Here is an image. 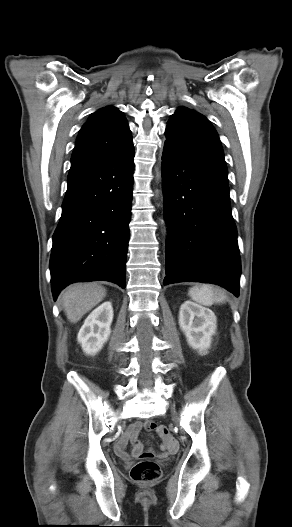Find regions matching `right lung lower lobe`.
<instances>
[{"label": "right lung lower lobe", "mask_w": 292, "mask_h": 527, "mask_svg": "<svg viewBox=\"0 0 292 527\" xmlns=\"http://www.w3.org/2000/svg\"><path fill=\"white\" fill-rule=\"evenodd\" d=\"M134 148L71 160L50 258L54 300L73 282L105 280L125 288Z\"/></svg>", "instance_id": "1"}]
</instances>
